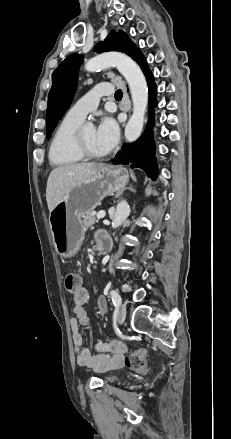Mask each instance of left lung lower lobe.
Segmentation results:
<instances>
[{"instance_id": "1", "label": "left lung lower lobe", "mask_w": 231, "mask_h": 439, "mask_svg": "<svg viewBox=\"0 0 231 439\" xmlns=\"http://www.w3.org/2000/svg\"><path fill=\"white\" fill-rule=\"evenodd\" d=\"M135 61L141 67L149 87V121L143 135L132 144H124L115 158L113 164L129 165L131 168L143 169L147 176L155 180L157 178V164L155 158V145L153 140L152 127L154 123V110L156 106V85L153 74L148 68L147 62L140 53Z\"/></svg>"}]
</instances>
